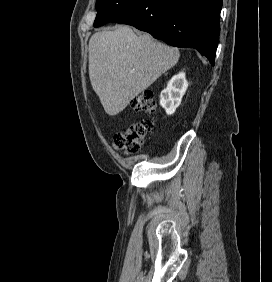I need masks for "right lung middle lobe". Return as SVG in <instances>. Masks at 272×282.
I'll use <instances>...</instances> for the list:
<instances>
[{
  "label": "right lung middle lobe",
  "instance_id": "obj_1",
  "mask_svg": "<svg viewBox=\"0 0 272 282\" xmlns=\"http://www.w3.org/2000/svg\"><path fill=\"white\" fill-rule=\"evenodd\" d=\"M136 0H97V17L94 22L95 27L102 26L112 20L124 9Z\"/></svg>",
  "mask_w": 272,
  "mask_h": 282
}]
</instances>
